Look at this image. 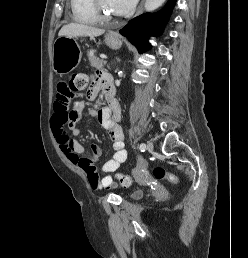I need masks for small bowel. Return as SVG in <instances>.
I'll return each mask as SVG.
<instances>
[{"label": "small bowel", "instance_id": "1", "mask_svg": "<svg viewBox=\"0 0 248 258\" xmlns=\"http://www.w3.org/2000/svg\"><path fill=\"white\" fill-rule=\"evenodd\" d=\"M104 78L111 81L109 75H101L99 80L84 94L87 100H95L100 87L105 89ZM71 97L67 84L61 83L56 92L51 118V127L57 142L64 155L86 175L93 191L100 192L114 188L112 173L127 159L124 133L119 125L120 106L116 100L112 99L109 101V107L99 111L91 110L87 113L90 117L97 118L107 131L114 150L112 158L106 161L101 169L106 175L99 178L94 162L100 157L102 148L99 144L93 143L90 146L91 152L87 153L75 139L80 134L78 122L83 115L85 100L76 101L73 108H70Z\"/></svg>", "mask_w": 248, "mask_h": 258}]
</instances>
